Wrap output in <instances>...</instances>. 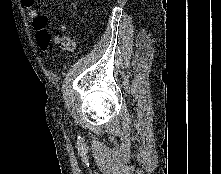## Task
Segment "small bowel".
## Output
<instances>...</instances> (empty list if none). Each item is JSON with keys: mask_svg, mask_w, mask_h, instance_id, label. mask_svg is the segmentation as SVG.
<instances>
[{"mask_svg": "<svg viewBox=\"0 0 221 174\" xmlns=\"http://www.w3.org/2000/svg\"><path fill=\"white\" fill-rule=\"evenodd\" d=\"M21 1L28 13V16L33 20V26L37 34V41L43 51H47L49 49L51 42L56 44L62 50L71 51L74 49V41L68 38L65 34H56L51 36L47 30V18L39 15L36 8V0ZM60 30L61 32L66 33L69 30V25L66 23L61 24Z\"/></svg>", "mask_w": 221, "mask_h": 174, "instance_id": "1", "label": "small bowel"}]
</instances>
